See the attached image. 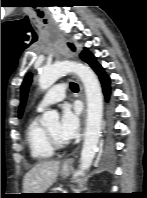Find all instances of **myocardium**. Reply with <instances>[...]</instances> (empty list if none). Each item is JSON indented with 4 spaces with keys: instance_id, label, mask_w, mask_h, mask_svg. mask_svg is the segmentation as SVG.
<instances>
[{
    "instance_id": "f54148a6",
    "label": "myocardium",
    "mask_w": 147,
    "mask_h": 198,
    "mask_svg": "<svg viewBox=\"0 0 147 198\" xmlns=\"http://www.w3.org/2000/svg\"><path fill=\"white\" fill-rule=\"evenodd\" d=\"M45 134H46V138L50 144V146L53 148V150H57V149H61L64 147L63 143L57 142L52 135L48 132L47 129H45Z\"/></svg>"
}]
</instances>
